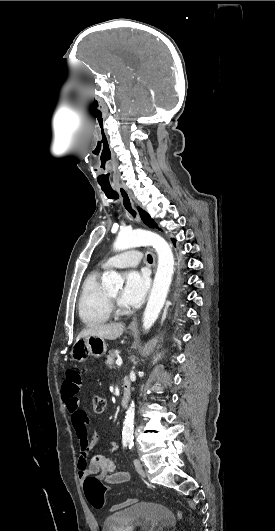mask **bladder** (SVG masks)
I'll return each mask as SVG.
<instances>
[{
  "label": "bladder",
  "instance_id": "bladder-1",
  "mask_svg": "<svg viewBox=\"0 0 275 531\" xmlns=\"http://www.w3.org/2000/svg\"><path fill=\"white\" fill-rule=\"evenodd\" d=\"M174 516L168 505L140 502L105 517L103 531H171Z\"/></svg>",
  "mask_w": 275,
  "mask_h": 531
}]
</instances>
